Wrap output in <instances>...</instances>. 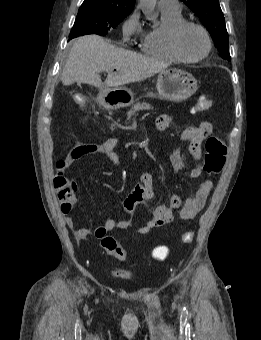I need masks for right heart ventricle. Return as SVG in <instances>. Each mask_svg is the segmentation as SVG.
Instances as JSON below:
<instances>
[{"label": "right heart ventricle", "mask_w": 261, "mask_h": 340, "mask_svg": "<svg viewBox=\"0 0 261 340\" xmlns=\"http://www.w3.org/2000/svg\"><path fill=\"white\" fill-rule=\"evenodd\" d=\"M162 23L159 27L145 31L140 36V49L146 55L170 62L180 61L169 47L170 29L183 19L180 12L161 10Z\"/></svg>", "instance_id": "obj_1"}]
</instances>
